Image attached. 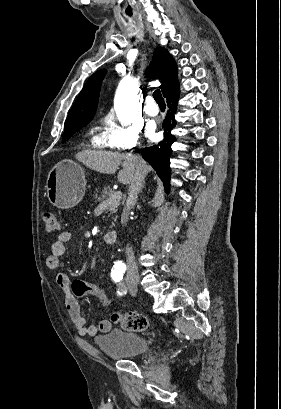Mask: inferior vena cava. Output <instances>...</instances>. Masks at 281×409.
Returning <instances> with one entry per match:
<instances>
[{
    "label": "inferior vena cava",
    "mask_w": 281,
    "mask_h": 409,
    "mask_svg": "<svg viewBox=\"0 0 281 409\" xmlns=\"http://www.w3.org/2000/svg\"><path fill=\"white\" fill-rule=\"evenodd\" d=\"M132 162L134 164V174L133 178H131V182L128 186V194L130 198H137V194L143 186V180L145 178V172L143 170L144 168V160H141V158H132ZM128 211L121 217V223L123 227L127 225L128 223ZM126 255H127V275H126V281L127 283H131V281H134V283H137L139 279L138 275V269L136 267V263L134 261V253L132 251V247H128L126 249Z\"/></svg>",
    "instance_id": "1"
}]
</instances>
